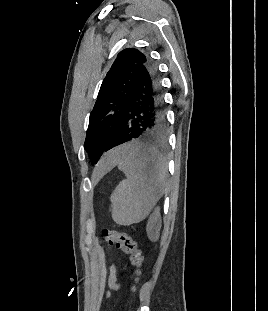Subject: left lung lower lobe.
I'll return each instance as SVG.
<instances>
[{
    "label": "left lung lower lobe",
    "instance_id": "1",
    "mask_svg": "<svg viewBox=\"0 0 268 311\" xmlns=\"http://www.w3.org/2000/svg\"><path fill=\"white\" fill-rule=\"evenodd\" d=\"M161 90L158 68L148 59L138 70L123 122L105 151L131 140L165 141L167 122Z\"/></svg>",
    "mask_w": 268,
    "mask_h": 311
}]
</instances>
